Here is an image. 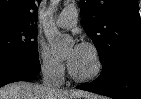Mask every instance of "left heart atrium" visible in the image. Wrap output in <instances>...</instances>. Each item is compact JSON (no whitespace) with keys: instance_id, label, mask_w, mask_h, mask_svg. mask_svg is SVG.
<instances>
[{"instance_id":"1","label":"left heart atrium","mask_w":141,"mask_h":99,"mask_svg":"<svg viewBox=\"0 0 141 99\" xmlns=\"http://www.w3.org/2000/svg\"><path fill=\"white\" fill-rule=\"evenodd\" d=\"M82 48H83V46L81 44H75L73 46V48L71 49V51L68 55V58H67V62L69 64V66H72L74 64V62L78 58Z\"/></svg>"}]
</instances>
